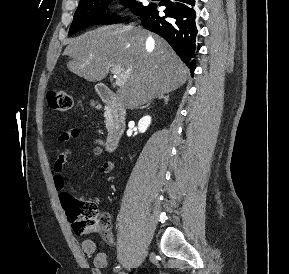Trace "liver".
Masks as SVG:
<instances>
[{
	"label": "liver",
	"instance_id": "6515ba94",
	"mask_svg": "<svg viewBox=\"0 0 289 274\" xmlns=\"http://www.w3.org/2000/svg\"><path fill=\"white\" fill-rule=\"evenodd\" d=\"M64 55L74 74L90 82L103 80L120 66L127 80L117 91L127 109H135L181 87L188 69L169 44L133 26H103L70 39Z\"/></svg>",
	"mask_w": 289,
	"mask_h": 274
}]
</instances>
